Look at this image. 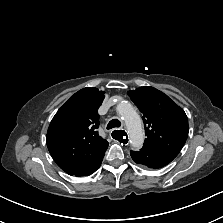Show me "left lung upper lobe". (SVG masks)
Instances as JSON below:
<instances>
[{
  "instance_id": "1",
  "label": "left lung upper lobe",
  "mask_w": 223,
  "mask_h": 223,
  "mask_svg": "<svg viewBox=\"0 0 223 223\" xmlns=\"http://www.w3.org/2000/svg\"><path fill=\"white\" fill-rule=\"evenodd\" d=\"M129 97L143 114L144 147L153 148L176 157L188 137V119L182 108L163 92L140 87L128 92Z\"/></svg>"
}]
</instances>
